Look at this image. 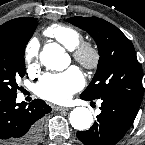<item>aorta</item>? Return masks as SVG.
I'll list each match as a JSON object with an SVG mask.
<instances>
[{"label":"aorta","instance_id":"1","mask_svg":"<svg viewBox=\"0 0 145 145\" xmlns=\"http://www.w3.org/2000/svg\"><path fill=\"white\" fill-rule=\"evenodd\" d=\"M41 63L50 70L62 71L70 64V59L65 50L57 43L46 44L40 53ZM70 124L73 128L83 131L92 126V112L85 107L73 109L69 116Z\"/></svg>","mask_w":145,"mask_h":145}]
</instances>
